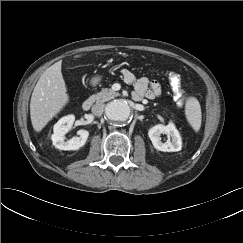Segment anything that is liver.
Listing matches in <instances>:
<instances>
[{
    "mask_svg": "<svg viewBox=\"0 0 243 243\" xmlns=\"http://www.w3.org/2000/svg\"><path fill=\"white\" fill-rule=\"evenodd\" d=\"M61 65L62 61H58L47 68L34 87L30 117L36 132H40L69 102Z\"/></svg>",
    "mask_w": 243,
    "mask_h": 243,
    "instance_id": "obj_1",
    "label": "liver"
}]
</instances>
